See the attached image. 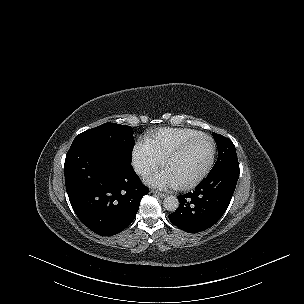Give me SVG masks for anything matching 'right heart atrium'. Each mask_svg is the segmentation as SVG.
<instances>
[{
	"label": "right heart atrium",
	"mask_w": 304,
	"mask_h": 304,
	"mask_svg": "<svg viewBox=\"0 0 304 304\" xmlns=\"http://www.w3.org/2000/svg\"><path fill=\"white\" fill-rule=\"evenodd\" d=\"M132 164L141 174L154 172L160 166V160L153 154L147 143L138 142L132 152Z\"/></svg>",
	"instance_id": "right-heart-atrium-1"
}]
</instances>
